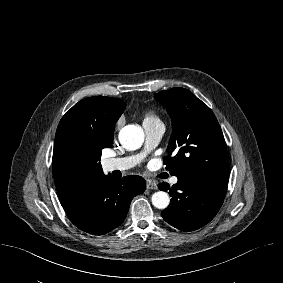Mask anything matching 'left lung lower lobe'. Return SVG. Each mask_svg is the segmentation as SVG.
<instances>
[{
    "mask_svg": "<svg viewBox=\"0 0 283 283\" xmlns=\"http://www.w3.org/2000/svg\"><path fill=\"white\" fill-rule=\"evenodd\" d=\"M158 187L169 191L172 197L162 217L182 231H194L210 222L219 211L227 190L185 177H178L171 188L165 182Z\"/></svg>",
    "mask_w": 283,
    "mask_h": 283,
    "instance_id": "left-lung-lower-lobe-1",
    "label": "left lung lower lobe"
}]
</instances>
